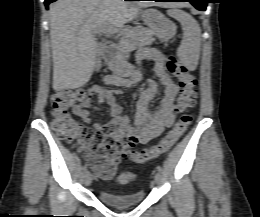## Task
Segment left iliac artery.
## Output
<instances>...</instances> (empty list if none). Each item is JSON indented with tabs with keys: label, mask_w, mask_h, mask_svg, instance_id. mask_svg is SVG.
<instances>
[{
	"label": "left iliac artery",
	"mask_w": 260,
	"mask_h": 217,
	"mask_svg": "<svg viewBox=\"0 0 260 217\" xmlns=\"http://www.w3.org/2000/svg\"><path fill=\"white\" fill-rule=\"evenodd\" d=\"M157 170H158L160 173H162V171H163V169H162V167H161L160 165L157 166Z\"/></svg>",
	"instance_id": "obj_1"
}]
</instances>
